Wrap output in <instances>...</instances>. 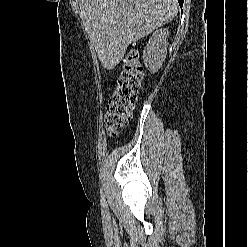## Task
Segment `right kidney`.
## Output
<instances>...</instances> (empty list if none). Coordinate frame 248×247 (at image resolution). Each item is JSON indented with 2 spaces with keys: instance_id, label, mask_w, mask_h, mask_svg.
I'll return each mask as SVG.
<instances>
[{
  "instance_id": "ca27d5eb",
  "label": "right kidney",
  "mask_w": 248,
  "mask_h": 247,
  "mask_svg": "<svg viewBox=\"0 0 248 247\" xmlns=\"http://www.w3.org/2000/svg\"><path fill=\"white\" fill-rule=\"evenodd\" d=\"M168 29L156 30L143 50V60L146 67L155 73L162 66L167 54Z\"/></svg>"
}]
</instances>
